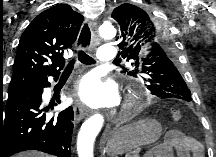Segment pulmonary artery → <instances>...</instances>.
Returning a JSON list of instances; mask_svg holds the SVG:
<instances>
[{
	"mask_svg": "<svg viewBox=\"0 0 216 157\" xmlns=\"http://www.w3.org/2000/svg\"><path fill=\"white\" fill-rule=\"evenodd\" d=\"M96 55L100 61L109 62L117 56V50L113 45H103L99 48Z\"/></svg>",
	"mask_w": 216,
	"mask_h": 157,
	"instance_id": "pulmonary-artery-1",
	"label": "pulmonary artery"
}]
</instances>
